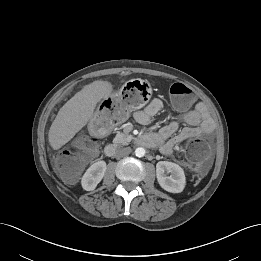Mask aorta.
<instances>
[{"mask_svg":"<svg viewBox=\"0 0 261 261\" xmlns=\"http://www.w3.org/2000/svg\"><path fill=\"white\" fill-rule=\"evenodd\" d=\"M135 155L137 157H143L145 155V149L142 147H138L135 149Z\"/></svg>","mask_w":261,"mask_h":261,"instance_id":"obj_1","label":"aorta"}]
</instances>
